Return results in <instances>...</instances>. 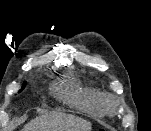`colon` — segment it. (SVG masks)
<instances>
[{"instance_id": "1", "label": "colon", "mask_w": 151, "mask_h": 131, "mask_svg": "<svg viewBox=\"0 0 151 131\" xmlns=\"http://www.w3.org/2000/svg\"><path fill=\"white\" fill-rule=\"evenodd\" d=\"M99 131H106V130H104V129H100Z\"/></svg>"}]
</instances>
